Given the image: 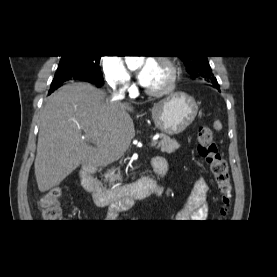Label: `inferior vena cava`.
I'll return each instance as SVG.
<instances>
[{"mask_svg": "<svg viewBox=\"0 0 277 277\" xmlns=\"http://www.w3.org/2000/svg\"><path fill=\"white\" fill-rule=\"evenodd\" d=\"M125 98V88L124 89H114L113 93H112V100L113 101H120L123 100Z\"/></svg>", "mask_w": 277, "mask_h": 277, "instance_id": "1", "label": "inferior vena cava"}]
</instances>
